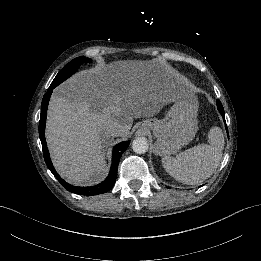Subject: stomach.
Instances as JSON below:
<instances>
[{
    "label": "stomach",
    "instance_id": "1",
    "mask_svg": "<svg viewBox=\"0 0 261 261\" xmlns=\"http://www.w3.org/2000/svg\"><path fill=\"white\" fill-rule=\"evenodd\" d=\"M172 107L163 120L147 119L144 128L152 129L156 142L154 153L162 157L175 154L190 143L197 133L198 101L190 86L177 87Z\"/></svg>",
    "mask_w": 261,
    "mask_h": 261
}]
</instances>
